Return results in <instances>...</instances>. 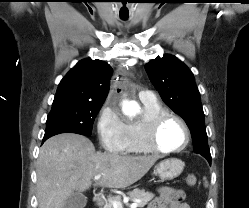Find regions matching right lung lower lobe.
<instances>
[{"instance_id":"obj_1","label":"right lung lower lobe","mask_w":249,"mask_h":208,"mask_svg":"<svg viewBox=\"0 0 249 208\" xmlns=\"http://www.w3.org/2000/svg\"><path fill=\"white\" fill-rule=\"evenodd\" d=\"M56 134H59V133L45 134L42 143H43L44 141H46L48 138H50V137H52V136H54V135H56Z\"/></svg>"}]
</instances>
